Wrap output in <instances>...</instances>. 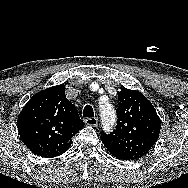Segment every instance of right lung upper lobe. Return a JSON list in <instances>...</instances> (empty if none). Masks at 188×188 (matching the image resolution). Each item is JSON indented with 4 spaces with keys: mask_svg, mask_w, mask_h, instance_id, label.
<instances>
[{
    "mask_svg": "<svg viewBox=\"0 0 188 188\" xmlns=\"http://www.w3.org/2000/svg\"><path fill=\"white\" fill-rule=\"evenodd\" d=\"M23 143L36 155L52 158L65 153L83 127L76 107L65 97L63 85L33 95L17 121Z\"/></svg>",
    "mask_w": 188,
    "mask_h": 188,
    "instance_id": "1",
    "label": "right lung upper lobe"
}]
</instances>
